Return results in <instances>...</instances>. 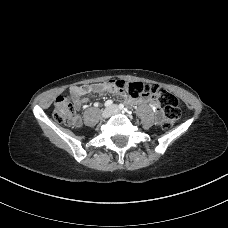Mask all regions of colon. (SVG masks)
Wrapping results in <instances>:
<instances>
[{
  "mask_svg": "<svg viewBox=\"0 0 228 228\" xmlns=\"http://www.w3.org/2000/svg\"><path fill=\"white\" fill-rule=\"evenodd\" d=\"M115 87L132 98L152 97L164 109L163 127L171 128L180 118L181 109L177 97L169 91L154 84L142 82L115 81ZM53 117L57 122L63 123L73 120L75 107L68 95L58 96L54 103Z\"/></svg>",
  "mask_w": 228,
  "mask_h": 228,
  "instance_id": "1",
  "label": "colon"
}]
</instances>
